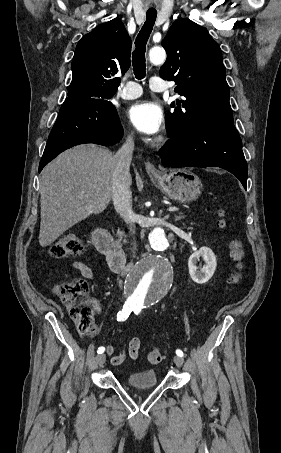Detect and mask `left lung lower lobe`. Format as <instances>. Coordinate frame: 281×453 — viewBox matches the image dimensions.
Masks as SVG:
<instances>
[{
    "mask_svg": "<svg viewBox=\"0 0 281 453\" xmlns=\"http://www.w3.org/2000/svg\"><path fill=\"white\" fill-rule=\"evenodd\" d=\"M159 154L162 164L167 167L224 168L247 190V163L233 118L207 122L177 134Z\"/></svg>",
    "mask_w": 281,
    "mask_h": 453,
    "instance_id": "1",
    "label": "left lung lower lobe"
}]
</instances>
